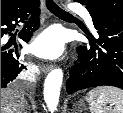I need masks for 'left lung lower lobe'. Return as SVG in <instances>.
<instances>
[{
	"label": "left lung lower lobe",
	"mask_w": 123,
	"mask_h": 113,
	"mask_svg": "<svg viewBox=\"0 0 123 113\" xmlns=\"http://www.w3.org/2000/svg\"><path fill=\"white\" fill-rule=\"evenodd\" d=\"M89 11L97 35L77 48V62L70 70L67 92L109 85L123 89V16L102 12L94 4Z\"/></svg>",
	"instance_id": "1"
}]
</instances>
